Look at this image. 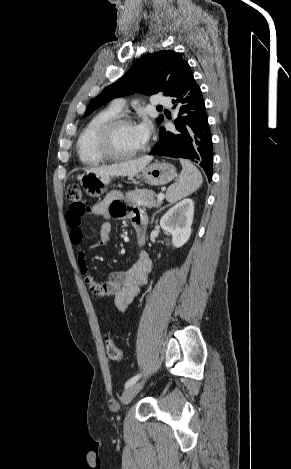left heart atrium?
<instances>
[{"mask_svg":"<svg viewBox=\"0 0 291 469\" xmlns=\"http://www.w3.org/2000/svg\"><path fill=\"white\" fill-rule=\"evenodd\" d=\"M136 132L144 143L147 142L151 133V124L148 120H143L135 126Z\"/></svg>","mask_w":291,"mask_h":469,"instance_id":"obj_1","label":"left heart atrium"}]
</instances>
